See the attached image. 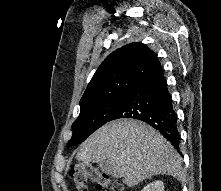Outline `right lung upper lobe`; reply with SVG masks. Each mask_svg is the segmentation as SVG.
I'll use <instances>...</instances> for the list:
<instances>
[{
	"label": "right lung upper lobe",
	"instance_id": "1",
	"mask_svg": "<svg viewBox=\"0 0 221 191\" xmlns=\"http://www.w3.org/2000/svg\"><path fill=\"white\" fill-rule=\"evenodd\" d=\"M160 69L155 53L145 44L125 45L99 66L80 100V108L127 94Z\"/></svg>",
	"mask_w": 221,
	"mask_h": 191
}]
</instances>
